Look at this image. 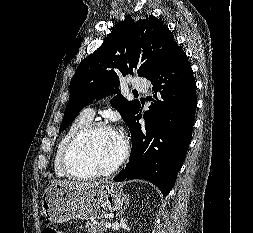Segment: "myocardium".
Returning <instances> with one entry per match:
<instances>
[{
  "instance_id": "myocardium-1",
  "label": "myocardium",
  "mask_w": 253,
  "mask_h": 233,
  "mask_svg": "<svg viewBox=\"0 0 253 233\" xmlns=\"http://www.w3.org/2000/svg\"><path fill=\"white\" fill-rule=\"evenodd\" d=\"M99 130H112L119 134L121 138L122 149H121V153L118 159L109 168L105 170H94L87 173L77 172L73 168L72 163H71V157L75 148L83 139H85L90 134ZM128 154H129V143L127 139L124 137V135L105 122L95 121V122H90L88 125L82 128L70 140L63 155V167L65 171L67 172V174L74 179H89V178H95V177H101V176H109L113 174L115 171H117L124 164V162L126 161L128 157Z\"/></svg>"
}]
</instances>
